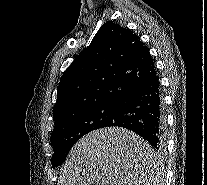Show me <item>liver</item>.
<instances>
[{
	"label": "liver",
	"instance_id": "6515ba94",
	"mask_svg": "<svg viewBox=\"0 0 207 185\" xmlns=\"http://www.w3.org/2000/svg\"><path fill=\"white\" fill-rule=\"evenodd\" d=\"M155 151L124 127H103L72 147L61 185H152Z\"/></svg>",
	"mask_w": 207,
	"mask_h": 185
}]
</instances>
